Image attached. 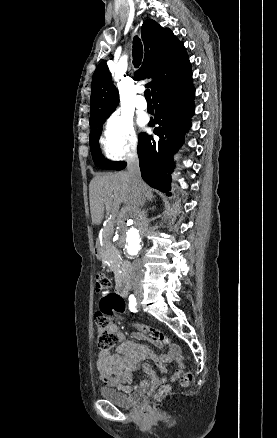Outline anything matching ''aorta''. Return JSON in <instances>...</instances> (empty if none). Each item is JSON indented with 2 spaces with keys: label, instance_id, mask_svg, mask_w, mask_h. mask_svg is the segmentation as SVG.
Segmentation results:
<instances>
[{
  "label": "aorta",
  "instance_id": "aorta-1",
  "mask_svg": "<svg viewBox=\"0 0 277 438\" xmlns=\"http://www.w3.org/2000/svg\"><path fill=\"white\" fill-rule=\"evenodd\" d=\"M146 230V220L141 215L123 216L115 236L118 247L129 257L138 256L143 248Z\"/></svg>",
  "mask_w": 277,
  "mask_h": 438
}]
</instances>
